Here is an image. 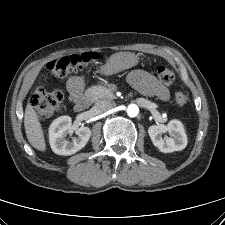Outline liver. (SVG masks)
I'll use <instances>...</instances> for the list:
<instances>
[{
	"mask_svg": "<svg viewBox=\"0 0 225 225\" xmlns=\"http://www.w3.org/2000/svg\"><path fill=\"white\" fill-rule=\"evenodd\" d=\"M24 127L29 143L39 151L46 150L43 130L39 122L37 113L33 106L28 103L24 115Z\"/></svg>",
	"mask_w": 225,
	"mask_h": 225,
	"instance_id": "obj_1",
	"label": "liver"
}]
</instances>
